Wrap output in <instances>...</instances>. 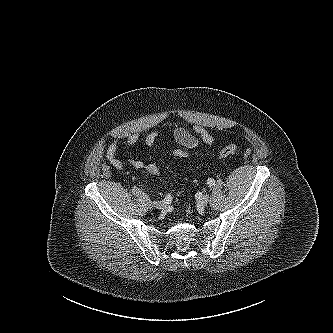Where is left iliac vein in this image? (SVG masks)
Wrapping results in <instances>:
<instances>
[{
  "mask_svg": "<svg viewBox=\"0 0 333 333\" xmlns=\"http://www.w3.org/2000/svg\"><path fill=\"white\" fill-rule=\"evenodd\" d=\"M208 201H209L208 195L202 196L197 203L199 210H203L207 206Z\"/></svg>",
  "mask_w": 333,
  "mask_h": 333,
  "instance_id": "left-iliac-vein-1",
  "label": "left iliac vein"
}]
</instances>
